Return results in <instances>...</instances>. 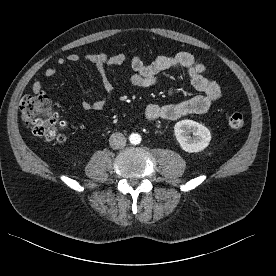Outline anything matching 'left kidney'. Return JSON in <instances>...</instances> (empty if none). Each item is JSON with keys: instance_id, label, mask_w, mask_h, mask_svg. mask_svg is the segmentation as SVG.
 <instances>
[{"instance_id": "obj_1", "label": "left kidney", "mask_w": 276, "mask_h": 276, "mask_svg": "<svg viewBox=\"0 0 276 276\" xmlns=\"http://www.w3.org/2000/svg\"><path fill=\"white\" fill-rule=\"evenodd\" d=\"M193 136H190V134ZM174 134L180 147L188 153L204 150L210 143L211 133L207 127L193 120H181L174 126Z\"/></svg>"}]
</instances>
